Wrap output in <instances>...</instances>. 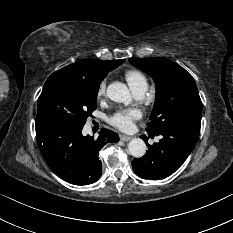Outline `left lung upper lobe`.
I'll return each instance as SVG.
<instances>
[{
    "label": "left lung upper lobe",
    "mask_w": 233,
    "mask_h": 233,
    "mask_svg": "<svg viewBox=\"0 0 233 233\" xmlns=\"http://www.w3.org/2000/svg\"><path fill=\"white\" fill-rule=\"evenodd\" d=\"M156 84V100L146 131L160 134L174 124L202 115V102L193 77L166 58L129 59Z\"/></svg>",
    "instance_id": "1"
}]
</instances>
